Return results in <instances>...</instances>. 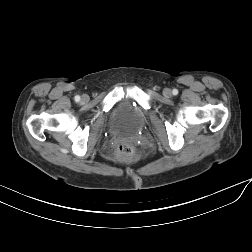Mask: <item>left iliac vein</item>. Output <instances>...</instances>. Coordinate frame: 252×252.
<instances>
[{
    "mask_svg": "<svg viewBox=\"0 0 252 252\" xmlns=\"http://www.w3.org/2000/svg\"><path fill=\"white\" fill-rule=\"evenodd\" d=\"M163 94H164V96H166V97H170V96L172 95V91H171L170 88H165V89L163 90Z\"/></svg>",
    "mask_w": 252,
    "mask_h": 252,
    "instance_id": "left-iliac-vein-1",
    "label": "left iliac vein"
}]
</instances>
